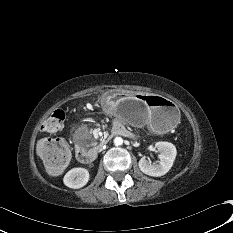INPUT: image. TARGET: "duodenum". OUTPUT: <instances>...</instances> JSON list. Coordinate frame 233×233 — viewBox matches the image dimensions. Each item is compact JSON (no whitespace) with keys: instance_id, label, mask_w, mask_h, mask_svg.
<instances>
[{"instance_id":"1","label":"duodenum","mask_w":233,"mask_h":233,"mask_svg":"<svg viewBox=\"0 0 233 233\" xmlns=\"http://www.w3.org/2000/svg\"><path fill=\"white\" fill-rule=\"evenodd\" d=\"M130 133L120 124H116L112 128V135L128 136ZM77 159L82 163H89L95 160L97 152L94 150H85L83 147L76 149Z\"/></svg>"}]
</instances>
